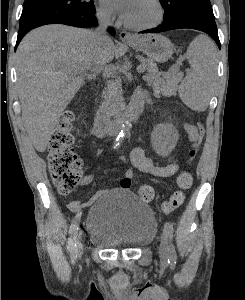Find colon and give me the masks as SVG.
<instances>
[{"mask_svg":"<svg viewBox=\"0 0 245 300\" xmlns=\"http://www.w3.org/2000/svg\"><path fill=\"white\" fill-rule=\"evenodd\" d=\"M73 121L74 114L66 111L53 130L48 143L49 173L57 191L62 195L72 192L82 181V161L72 148L74 143ZM204 133V125L198 123V139L189 152V162L196 156ZM176 182L178 189L162 205L164 213H170L182 205L184 193L193 183L192 174L184 170L178 175ZM137 195L142 201L150 202L154 198V189L149 185L141 186Z\"/></svg>","mask_w":245,"mask_h":300,"instance_id":"obj_1","label":"colon"}]
</instances>
